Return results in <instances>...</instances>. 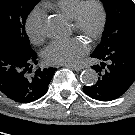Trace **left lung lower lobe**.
<instances>
[{"instance_id": "1", "label": "left lung lower lobe", "mask_w": 135, "mask_h": 135, "mask_svg": "<svg viewBox=\"0 0 135 135\" xmlns=\"http://www.w3.org/2000/svg\"><path fill=\"white\" fill-rule=\"evenodd\" d=\"M100 65L93 66L98 73L94 85L83 91L93 99L112 101L121 97L135 81V43H124L106 53H92Z\"/></svg>"}]
</instances>
